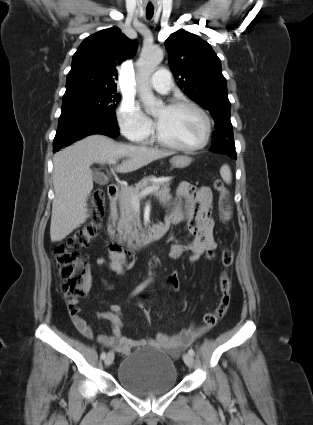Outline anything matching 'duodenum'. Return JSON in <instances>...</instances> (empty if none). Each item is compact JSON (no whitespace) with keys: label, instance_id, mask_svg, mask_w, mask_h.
<instances>
[{"label":"duodenum","instance_id":"1","mask_svg":"<svg viewBox=\"0 0 313 425\" xmlns=\"http://www.w3.org/2000/svg\"><path fill=\"white\" fill-rule=\"evenodd\" d=\"M107 194L109 198L110 203V217L111 219H114L116 216V199L118 195V187L115 184H111L107 188ZM167 227L166 225H154L150 229L142 232L139 236L137 241L129 246H125L121 243V241L116 237V235L113 232L112 227L110 226L108 229L107 234V245L108 248L111 251L121 252V253H127V254H133L138 249L142 248L143 246L147 245L153 240L161 239L165 233H166Z\"/></svg>","mask_w":313,"mask_h":425}]
</instances>
